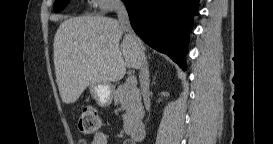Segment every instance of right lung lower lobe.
I'll return each mask as SVG.
<instances>
[{
	"label": "right lung lower lobe",
	"mask_w": 273,
	"mask_h": 144,
	"mask_svg": "<svg viewBox=\"0 0 273 144\" xmlns=\"http://www.w3.org/2000/svg\"><path fill=\"white\" fill-rule=\"evenodd\" d=\"M134 31L186 70L185 54L199 0H123Z\"/></svg>",
	"instance_id": "right-lung-lower-lobe-1"
}]
</instances>
